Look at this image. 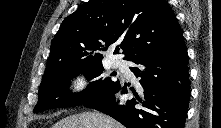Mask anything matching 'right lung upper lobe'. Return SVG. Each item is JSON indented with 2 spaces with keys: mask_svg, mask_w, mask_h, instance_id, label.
<instances>
[{
  "mask_svg": "<svg viewBox=\"0 0 221 128\" xmlns=\"http://www.w3.org/2000/svg\"><path fill=\"white\" fill-rule=\"evenodd\" d=\"M182 40L166 0H89L62 22L46 69L71 61H102V52L113 44L131 61ZM114 53H119L118 47Z\"/></svg>",
  "mask_w": 221,
  "mask_h": 128,
  "instance_id": "1",
  "label": "right lung upper lobe"
}]
</instances>
